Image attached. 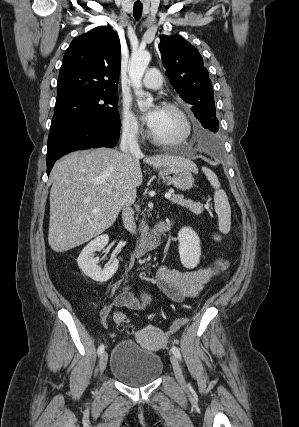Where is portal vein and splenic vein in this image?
<instances>
[{
    "mask_svg": "<svg viewBox=\"0 0 299 427\" xmlns=\"http://www.w3.org/2000/svg\"><path fill=\"white\" fill-rule=\"evenodd\" d=\"M165 198H166V199H170V198H171V194H170V193L165 194Z\"/></svg>",
    "mask_w": 299,
    "mask_h": 427,
    "instance_id": "1",
    "label": "portal vein and splenic vein"
}]
</instances>
